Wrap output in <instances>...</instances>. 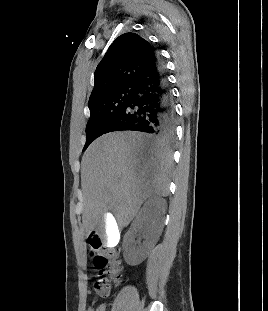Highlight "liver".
I'll list each match as a JSON object with an SVG mask.
<instances>
[{"mask_svg":"<svg viewBox=\"0 0 268 311\" xmlns=\"http://www.w3.org/2000/svg\"><path fill=\"white\" fill-rule=\"evenodd\" d=\"M171 154L137 132H112L96 139L82 157V229L99 230L111 211L126 227L152 195L167 196Z\"/></svg>","mask_w":268,"mask_h":311,"instance_id":"1","label":"liver"}]
</instances>
